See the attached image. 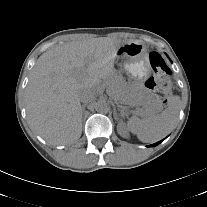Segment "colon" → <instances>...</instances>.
I'll return each instance as SVG.
<instances>
[{
  "label": "colon",
  "mask_w": 207,
  "mask_h": 207,
  "mask_svg": "<svg viewBox=\"0 0 207 207\" xmlns=\"http://www.w3.org/2000/svg\"><path fill=\"white\" fill-rule=\"evenodd\" d=\"M151 77L147 85L152 92V100L158 105H164L170 96V75L171 71L163 57L158 52L149 54Z\"/></svg>",
  "instance_id": "1"
}]
</instances>
